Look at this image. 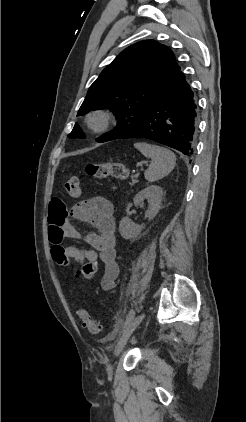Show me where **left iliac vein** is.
<instances>
[{
    "instance_id": "4c4485c4",
    "label": "left iliac vein",
    "mask_w": 246,
    "mask_h": 422,
    "mask_svg": "<svg viewBox=\"0 0 246 422\" xmlns=\"http://www.w3.org/2000/svg\"><path fill=\"white\" fill-rule=\"evenodd\" d=\"M144 317H145V313H141L130 323L128 327L125 328V330L123 331V334L120 336L119 341L117 342L115 346L114 356H118L122 352L129 337L131 336L133 331L139 326V324L143 321ZM107 370H108L109 377H112V372H113L112 366L109 365Z\"/></svg>"
}]
</instances>
